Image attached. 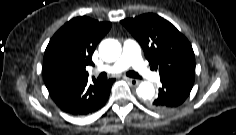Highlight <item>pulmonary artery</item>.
Here are the masks:
<instances>
[{"mask_svg":"<svg viewBox=\"0 0 236 135\" xmlns=\"http://www.w3.org/2000/svg\"><path fill=\"white\" fill-rule=\"evenodd\" d=\"M128 67H132L136 73L145 78L159 79V75L152 72L142 60L139 44L133 39H128L124 42L122 56L114 64L108 66L107 70L109 72L118 73Z\"/></svg>","mask_w":236,"mask_h":135,"instance_id":"e3ab8cb5","label":"pulmonary artery"}]
</instances>
